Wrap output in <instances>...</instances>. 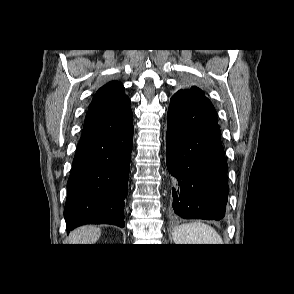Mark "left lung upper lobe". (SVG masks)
Wrapping results in <instances>:
<instances>
[{"label":"left lung upper lobe","instance_id":"obj_1","mask_svg":"<svg viewBox=\"0 0 294 294\" xmlns=\"http://www.w3.org/2000/svg\"><path fill=\"white\" fill-rule=\"evenodd\" d=\"M181 93H186V94H190V95H193V96L206 98L204 93L202 92V90H200L199 88H197L195 86L185 88V89H181L176 94H181Z\"/></svg>","mask_w":294,"mask_h":294}]
</instances>
